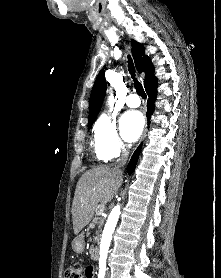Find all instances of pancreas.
I'll return each mask as SVG.
<instances>
[{
	"label": "pancreas",
	"mask_w": 221,
	"mask_h": 278,
	"mask_svg": "<svg viewBox=\"0 0 221 278\" xmlns=\"http://www.w3.org/2000/svg\"><path fill=\"white\" fill-rule=\"evenodd\" d=\"M96 214L98 215V210L96 211ZM91 227H104V222H100V219H93V222L90 223Z\"/></svg>",
	"instance_id": "pancreas-1"
}]
</instances>
